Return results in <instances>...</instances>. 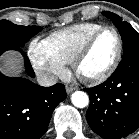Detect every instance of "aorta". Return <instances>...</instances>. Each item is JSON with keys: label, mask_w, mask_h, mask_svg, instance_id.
<instances>
[{"label": "aorta", "mask_w": 139, "mask_h": 139, "mask_svg": "<svg viewBox=\"0 0 139 139\" xmlns=\"http://www.w3.org/2000/svg\"><path fill=\"white\" fill-rule=\"evenodd\" d=\"M72 104L77 108H84L89 104V97L83 91H75L71 95Z\"/></svg>", "instance_id": "aorta-1"}]
</instances>
